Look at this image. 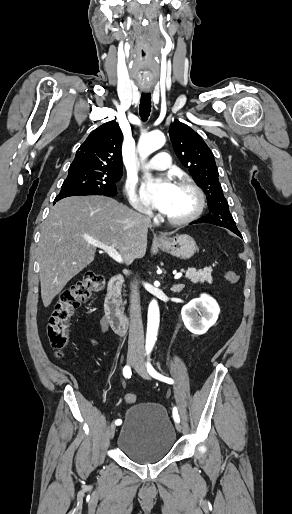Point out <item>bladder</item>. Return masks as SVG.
Returning a JSON list of instances; mask_svg holds the SVG:
<instances>
[{
	"mask_svg": "<svg viewBox=\"0 0 292 514\" xmlns=\"http://www.w3.org/2000/svg\"><path fill=\"white\" fill-rule=\"evenodd\" d=\"M176 442V433L165 408L137 403L128 408L117 439L118 449L139 464L164 459Z\"/></svg>",
	"mask_w": 292,
	"mask_h": 514,
	"instance_id": "1",
	"label": "bladder"
}]
</instances>
